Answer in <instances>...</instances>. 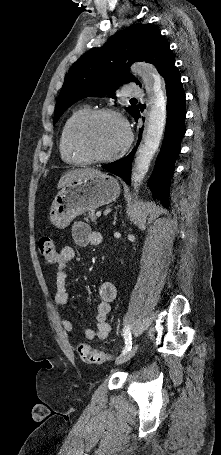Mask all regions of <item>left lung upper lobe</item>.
<instances>
[{
	"mask_svg": "<svg viewBox=\"0 0 221 455\" xmlns=\"http://www.w3.org/2000/svg\"><path fill=\"white\" fill-rule=\"evenodd\" d=\"M135 61L153 64L160 75L175 64V58L168 41L160 30L151 24H137L119 33L101 48L83 54L69 69L59 94L54 123L72 104L85 97L108 95L125 83L138 80L129 73V66ZM137 106L126 111L134 116Z\"/></svg>",
	"mask_w": 221,
	"mask_h": 455,
	"instance_id": "left-lung-upper-lobe-1",
	"label": "left lung upper lobe"
}]
</instances>
